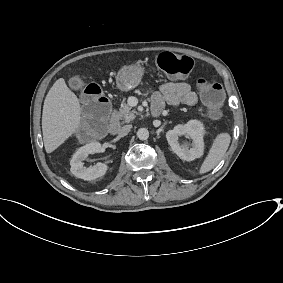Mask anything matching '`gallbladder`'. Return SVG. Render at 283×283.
I'll return each instance as SVG.
<instances>
[{
    "instance_id": "1",
    "label": "gallbladder",
    "mask_w": 283,
    "mask_h": 283,
    "mask_svg": "<svg viewBox=\"0 0 283 283\" xmlns=\"http://www.w3.org/2000/svg\"><path fill=\"white\" fill-rule=\"evenodd\" d=\"M75 78H78L80 81H81V84L78 86V87H75L73 84H72V81L75 79ZM69 86L70 88L74 89V90H78V89H81L84 85V82L79 78V77H72L69 79Z\"/></svg>"
}]
</instances>
